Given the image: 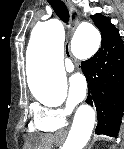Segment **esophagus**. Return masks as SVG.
Instances as JSON below:
<instances>
[{"label":"esophagus","instance_id":"esophagus-1","mask_svg":"<svg viewBox=\"0 0 124 149\" xmlns=\"http://www.w3.org/2000/svg\"><path fill=\"white\" fill-rule=\"evenodd\" d=\"M64 3L68 7V10H69V13H70V27H69V30H68V36H71L72 33L75 30V27L78 23L80 15H79V12L73 6V4L71 3L70 0H64Z\"/></svg>","mask_w":124,"mask_h":149}]
</instances>
